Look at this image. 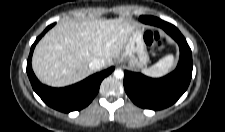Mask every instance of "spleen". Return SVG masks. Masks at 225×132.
Returning <instances> with one entry per match:
<instances>
[{
	"label": "spleen",
	"mask_w": 225,
	"mask_h": 132,
	"mask_svg": "<svg viewBox=\"0 0 225 132\" xmlns=\"http://www.w3.org/2000/svg\"><path fill=\"white\" fill-rule=\"evenodd\" d=\"M175 65V59L172 55L165 56L161 58L157 63L152 65L151 67L144 69L142 72L143 74L159 78L166 74H168Z\"/></svg>",
	"instance_id": "1"
}]
</instances>
